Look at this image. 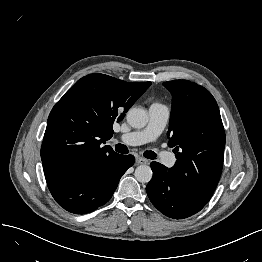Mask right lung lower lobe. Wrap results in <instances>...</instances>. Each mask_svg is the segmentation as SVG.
I'll return each instance as SVG.
<instances>
[{"instance_id":"98d812e1","label":"right lung lower lobe","mask_w":262,"mask_h":262,"mask_svg":"<svg viewBox=\"0 0 262 262\" xmlns=\"http://www.w3.org/2000/svg\"><path fill=\"white\" fill-rule=\"evenodd\" d=\"M134 161L132 155H116L96 168L45 174V178L53 198L61 207L75 214H86L110 200L120 178Z\"/></svg>"}]
</instances>
